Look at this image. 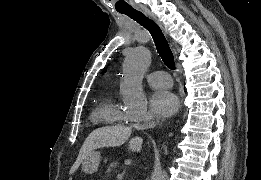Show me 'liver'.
Masks as SVG:
<instances>
[{
  "label": "liver",
  "mask_w": 261,
  "mask_h": 180,
  "mask_svg": "<svg viewBox=\"0 0 261 180\" xmlns=\"http://www.w3.org/2000/svg\"><path fill=\"white\" fill-rule=\"evenodd\" d=\"M131 134L132 128H126V126H105V128L93 130L86 138L78 158L70 170V174H74L78 170L83 160H88V156L92 154L93 150H97V148H118L130 138ZM142 144V138H138V136L131 138L128 150L140 152Z\"/></svg>",
  "instance_id": "6515ba94"
}]
</instances>
